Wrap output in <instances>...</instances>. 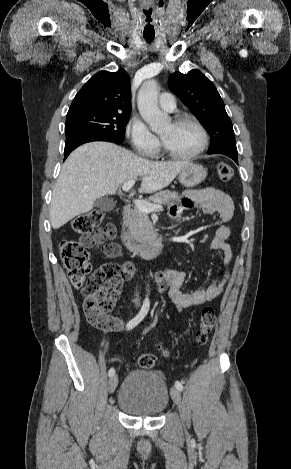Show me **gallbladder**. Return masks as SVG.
<instances>
[{"instance_id": "bac80fb5", "label": "gallbladder", "mask_w": 291, "mask_h": 469, "mask_svg": "<svg viewBox=\"0 0 291 469\" xmlns=\"http://www.w3.org/2000/svg\"><path fill=\"white\" fill-rule=\"evenodd\" d=\"M115 206L116 203L107 197L99 198L95 202V207L102 211H111L115 208Z\"/></svg>"}]
</instances>
